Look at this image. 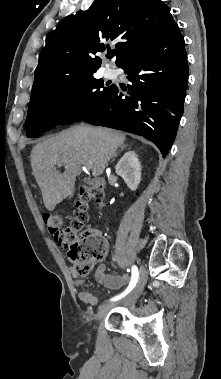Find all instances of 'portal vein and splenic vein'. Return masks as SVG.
Here are the masks:
<instances>
[{
    "instance_id": "portal-vein-and-splenic-vein-1",
    "label": "portal vein and splenic vein",
    "mask_w": 221,
    "mask_h": 379,
    "mask_svg": "<svg viewBox=\"0 0 221 379\" xmlns=\"http://www.w3.org/2000/svg\"><path fill=\"white\" fill-rule=\"evenodd\" d=\"M84 165H85V167L87 169H91L92 168V162H86Z\"/></svg>"
}]
</instances>
